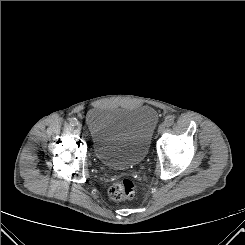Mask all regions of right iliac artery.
Masks as SVG:
<instances>
[{
	"mask_svg": "<svg viewBox=\"0 0 245 245\" xmlns=\"http://www.w3.org/2000/svg\"><path fill=\"white\" fill-rule=\"evenodd\" d=\"M69 123H70L71 126L74 127V126H77L78 125V120L76 118H71L69 120Z\"/></svg>",
	"mask_w": 245,
	"mask_h": 245,
	"instance_id": "right-iliac-artery-1",
	"label": "right iliac artery"
}]
</instances>
